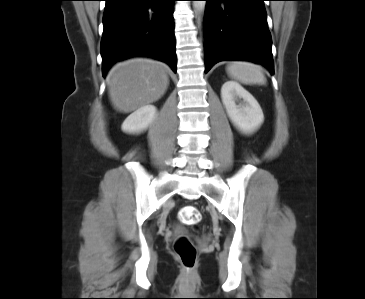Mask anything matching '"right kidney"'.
<instances>
[{"label":"right kidney","mask_w":365,"mask_h":299,"mask_svg":"<svg viewBox=\"0 0 365 299\" xmlns=\"http://www.w3.org/2000/svg\"><path fill=\"white\" fill-rule=\"evenodd\" d=\"M157 115L154 105H145L130 114L122 124V130L126 133H140L146 130Z\"/></svg>","instance_id":"ca27d5eb"}]
</instances>
